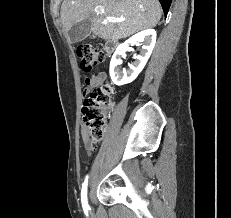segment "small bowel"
Listing matches in <instances>:
<instances>
[{
    "label": "small bowel",
    "instance_id": "c3829d8e",
    "mask_svg": "<svg viewBox=\"0 0 231 218\" xmlns=\"http://www.w3.org/2000/svg\"><path fill=\"white\" fill-rule=\"evenodd\" d=\"M94 73L96 72L95 70L93 71ZM106 76L104 73H98L95 76L91 78L86 79V88L84 90V95L92 88L100 85L101 83L104 82ZM80 138L83 143L84 149L86 153L89 155L93 152L95 149L94 147V142L90 139L88 135V131L84 125H81L80 127Z\"/></svg>",
    "mask_w": 231,
    "mask_h": 218
}]
</instances>
